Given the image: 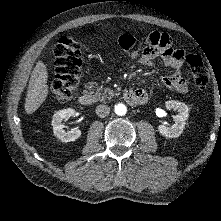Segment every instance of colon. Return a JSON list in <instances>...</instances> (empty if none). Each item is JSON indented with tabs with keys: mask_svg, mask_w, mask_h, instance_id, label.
I'll return each mask as SVG.
<instances>
[{
	"mask_svg": "<svg viewBox=\"0 0 221 221\" xmlns=\"http://www.w3.org/2000/svg\"><path fill=\"white\" fill-rule=\"evenodd\" d=\"M82 44L70 36H62L54 49L55 77L50 83V91L61 103L67 102L74 94L82 74ZM187 62L191 68L195 87L203 91L209 84V73L200 56L189 55Z\"/></svg>",
	"mask_w": 221,
	"mask_h": 221,
	"instance_id": "5ec220e1",
	"label": "colon"
}]
</instances>
